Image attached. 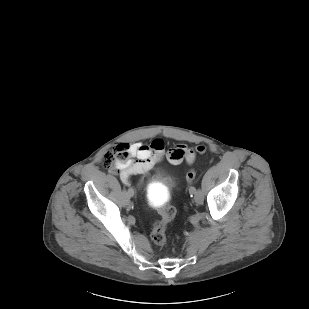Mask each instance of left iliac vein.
Wrapping results in <instances>:
<instances>
[{"label":"left iliac vein","instance_id":"obj_1","mask_svg":"<svg viewBox=\"0 0 309 309\" xmlns=\"http://www.w3.org/2000/svg\"><path fill=\"white\" fill-rule=\"evenodd\" d=\"M204 200V196L201 190H197L194 194V202L196 204H201Z\"/></svg>","mask_w":309,"mask_h":309}]
</instances>
